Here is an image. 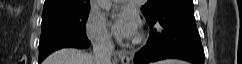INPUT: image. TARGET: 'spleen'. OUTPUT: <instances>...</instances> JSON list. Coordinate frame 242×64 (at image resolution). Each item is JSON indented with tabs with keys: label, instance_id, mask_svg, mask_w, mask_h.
<instances>
[{
	"label": "spleen",
	"instance_id": "3e777b00",
	"mask_svg": "<svg viewBox=\"0 0 242 64\" xmlns=\"http://www.w3.org/2000/svg\"><path fill=\"white\" fill-rule=\"evenodd\" d=\"M157 64H186V62L181 60L170 59V60L160 61Z\"/></svg>",
	"mask_w": 242,
	"mask_h": 64
}]
</instances>
